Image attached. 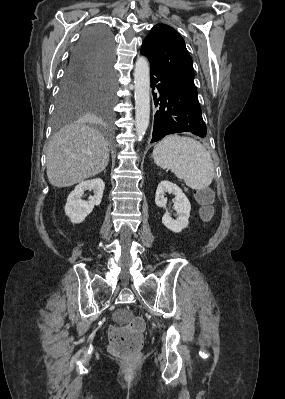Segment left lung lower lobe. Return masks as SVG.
Listing matches in <instances>:
<instances>
[{
    "mask_svg": "<svg viewBox=\"0 0 285 399\" xmlns=\"http://www.w3.org/2000/svg\"><path fill=\"white\" fill-rule=\"evenodd\" d=\"M150 73L153 98L155 104H159L154 117L151 143L179 132H191L205 137L206 125L200 104L158 67L150 64ZM155 88L159 91V98L153 92Z\"/></svg>",
    "mask_w": 285,
    "mask_h": 399,
    "instance_id": "obj_1",
    "label": "left lung lower lobe"
}]
</instances>
